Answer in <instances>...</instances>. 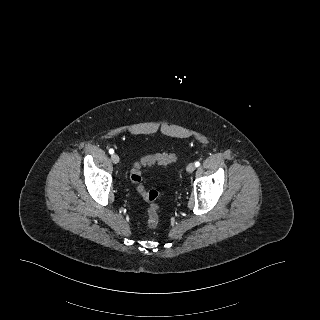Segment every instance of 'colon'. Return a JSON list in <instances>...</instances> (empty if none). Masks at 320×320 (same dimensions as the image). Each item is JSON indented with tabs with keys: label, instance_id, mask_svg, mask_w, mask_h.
<instances>
[{
	"label": "colon",
	"instance_id": "colon-1",
	"mask_svg": "<svg viewBox=\"0 0 320 320\" xmlns=\"http://www.w3.org/2000/svg\"><path fill=\"white\" fill-rule=\"evenodd\" d=\"M177 159V153H157L154 155H147L136 162L130 171V180L133 186L149 204L147 225L150 228H155L159 224V193L155 189H145L142 184L141 168L154 163L169 164Z\"/></svg>",
	"mask_w": 320,
	"mask_h": 320
}]
</instances>
